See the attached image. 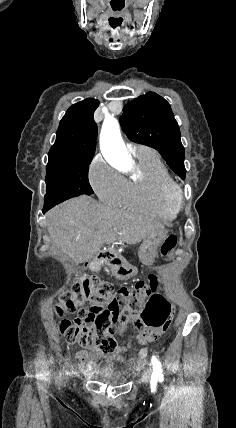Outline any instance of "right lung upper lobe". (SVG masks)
Masks as SVG:
<instances>
[{"label": "right lung upper lobe", "instance_id": "1", "mask_svg": "<svg viewBox=\"0 0 236 428\" xmlns=\"http://www.w3.org/2000/svg\"><path fill=\"white\" fill-rule=\"evenodd\" d=\"M99 101L88 98L72 105L62 118L49 159H89L95 152L97 124L93 114Z\"/></svg>", "mask_w": 236, "mask_h": 428}]
</instances>
